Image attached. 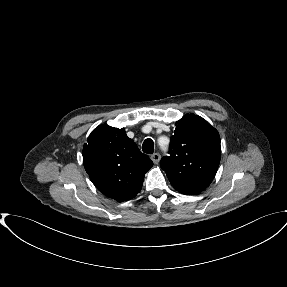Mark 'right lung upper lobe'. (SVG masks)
<instances>
[{
  "label": "right lung upper lobe",
  "mask_w": 287,
  "mask_h": 287,
  "mask_svg": "<svg viewBox=\"0 0 287 287\" xmlns=\"http://www.w3.org/2000/svg\"><path fill=\"white\" fill-rule=\"evenodd\" d=\"M83 147V164L93 184L118 202L140 192L145 173L153 166L128 138L125 129L99 125Z\"/></svg>",
  "instance_id": "cb5924a9"
}]
</instances>
